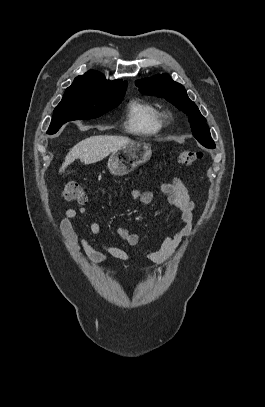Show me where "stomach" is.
Listing matches in <instances>:
<instances>
[{
    "mask_svg": "<svg viewBox=\"0 0 265 407\" xmlns=\"http://www.w3.org/2000/svg\"><path fill=\"white\" fill-rule=\"evenodd\" d=\"M152 155L151 146L142 141H131L112 152L108 168L115 176L126 175L137 166L147 162Z\"/></svg>",
    "mask_w": 265,
    "mask_h": 407,
    "instance_id": "obj_1",
    "label": "stomach"
}]
</instances>
